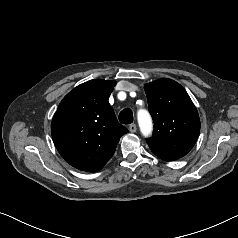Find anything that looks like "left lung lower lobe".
Instances as JSON below:
<instances>
[{
	"instance_id": "left-lung-lower-lobe-1",
	"label": "left lung lower lobe",
	"mask_w": 238,
	"mask_h": 238,
	"mask_svg": "<svg viewBox=\"0 0 238 238\" xmlns=\"http://www.w3.org/2000/svg\"><path fill=\"white\" fill-rule=\"evenodd\" d=\"M160 159L165 160V161H172V160H169V159H166V158H162V157H160Z\"/></svg>"
}]
</instances>
